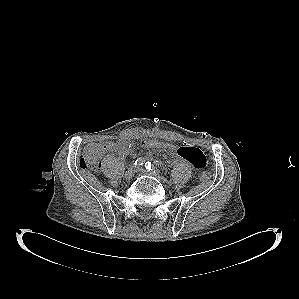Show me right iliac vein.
Listing matches in <instances>:
<instances>
[{
	"label": "right iliac vein",
	"mask_w": 299,
	"mask_h": 299,
	"mask_svg": "<svg viewBox=\"0 0 299 299\" xmlns=\"http://www.w3.org/2000/svg\"><path fill=\"white\" fill-rule=\"evenodd\" d=\"M134 171L133 167L128 168L123 175L124 179L130 180L134 175Z\"/></svg>",
	"instance_id": "63e3f726"
}]
</instances>
